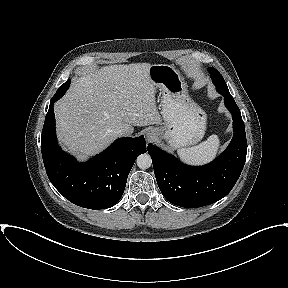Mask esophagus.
Wrapping results in <instances>:
<instances>
[{
	"label": "esophagus",
	"instance_id": "1",
	"mask_svg": "<svg viewBox=\"0 0 288 288\" xmlns=\"http://www.w3.org/2000/svg\"><path fill=\"white\" fill-rule=\"evenodd\" d=\"M152 138V135L150 133L147 134V140L149 141Z\"/></svg>",
	"mask_w": 288,
	"mask_h": 288
}]
</instances>
